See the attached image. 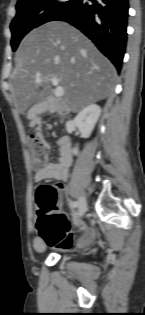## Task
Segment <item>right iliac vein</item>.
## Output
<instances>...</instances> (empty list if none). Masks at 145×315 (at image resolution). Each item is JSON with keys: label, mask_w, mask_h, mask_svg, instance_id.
<instances>
[{"label": "right iliac vein", "mask_w": 145, "mask_h": 315, "mask_svg": "<svg viewBox=\"0 0 145 315\" xmlns=\"http://www.w3.org/2000/svg\"><path fill=\"white\" fill-rule=\"evenodd\" d=\"M87 209V202L84 196H81L78 201V217H82Z\"/></svg>", "instance_id": "obj_1"}]
</instances>
